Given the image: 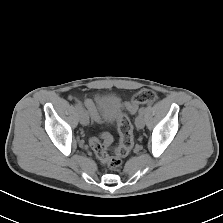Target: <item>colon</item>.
Masks as SVG:
<instances>
[{
    "label": "colon",
    "instance_id": "1",
    "mask_svg": "<svg viewBox=\"0 0 223 223\" xmlns=\"http://www.w3.org/2000/svg\"><path fill=\"white\" fill-rule=\"evenodd\" d=\"M156 99L157 95L154 91L143 89L136 92L131 100L124 104L123 108L124 110L134 113L140 105L154 103ZM117 126L120 143L119 146L115 148L113 154L108 153V149L112 143V137L108 133H102L99 137H94L90 141L96 157L111 170L120 167L122 159L130 153L134 143L133 127L128 116L124 112L118 114Z\"/></svg>",
    "mask_w": 223,
    "mask_h": 223
}]
</instances>
